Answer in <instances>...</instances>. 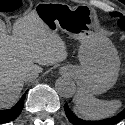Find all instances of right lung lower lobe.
<instances>
[{"label":"right lung lower lobe","instance_id":"1","mask_svg":"<svg viewBox=\"0 0 125 125\" xmlns=\"http://www.w3.org/2000/svg\"><path fill=\"white\" fill-rule=\"evenodd\" d=\"M25 97L26 93L21 97V99L13 108L0 111V124L13 121L19 116L24 106Z\"/></svg>","mask_w":125,"mask_h":125}]
</instances>
